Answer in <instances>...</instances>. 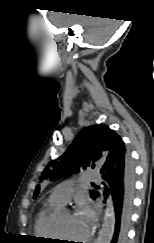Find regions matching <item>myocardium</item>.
Instances as JSON below:
<instances>
[{
  "label": "myocardium",
  "mask_w": 154,
  "mask_h": 243,
  "mask_svg": "<svg viewBox=\"0 0 154 243\" xmlns=\"http://www.w3.org/2000/svg\"><path fill=\"white\" fill-rule=\"evenodd\" d=\"M55 235L57 239L64 241L65 236L62 234L60 226L57 221L54 222Z\"/></svg>",
  "instance_id": "f54148a6"
}]
</instances>
